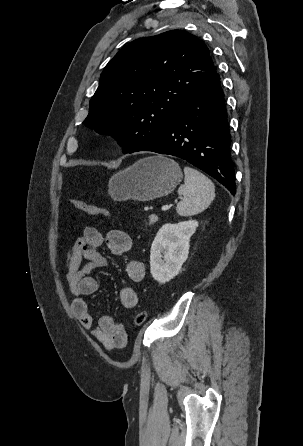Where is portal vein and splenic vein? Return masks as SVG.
I'll use <instances>...</instances> for the list:
<instances>
[{"instance_id": "obj_1", "label": "portal vein and splenic vein", "mask_w": 303, "mask_h": 446, "mask_svg": "<svg viewBox=\"0 0 303 446\" xmlns=\"http://www.w3.org/2000/svg\"><path fill=\"white\" fill-rule=\"evenodd\" d=\"M170 207H171V205H164V206H162L161 210L162 211H167V210L170 209Z\"/></svg>"}]
</instances>
